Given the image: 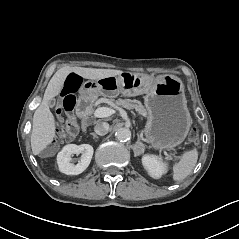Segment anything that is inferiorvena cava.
<instances>
[{
	"instance_id": "602c4592",
	"label": "inferior vena cava",
	"mask_w": 239,
	"mask_h": 239,
	"mask_svg": "<svg viewBox=\"0 0 239 239\" xmlns=\"http://www.w3.org/2000/svg\"><path fill=\"white\" fill-rule=\"evenodd\" d=\"M94 131L98 135H101V136L106 135L109 131V124L107 122H99L95 125Z\"/></svg>"
}]
</instances>
